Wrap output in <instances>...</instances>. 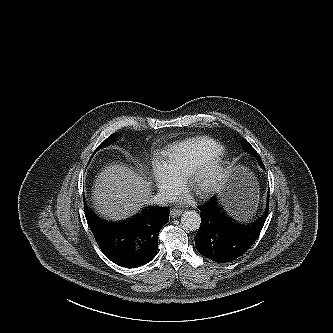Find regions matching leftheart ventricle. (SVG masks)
<instances>
[{
    "mask_svg": "<svg viewBox=\"0 0 333 333\" xmlns=\"http://www.w3.org/2000/svg\"><path fill=\"white\" fill-rule=\"evenodd\" d=\"M206 183H207V178H202V179L198 182L197 186H198V187H202V186H204Z\"/></svg>",
    "mask_w": 333,
    "mask_h": 333,
    "instance_id": "b2bd125f",
    "label": "left heart ventricle"
}]
</instances>
